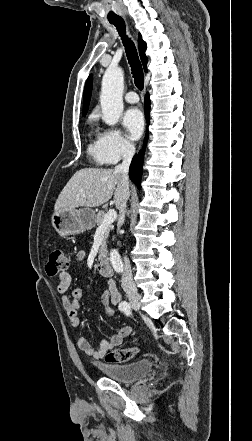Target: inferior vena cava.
Segmentation results:
<instances>
[{
	"label": "inferior vena cava",
	"instance_id": "inferior-vena-cava-1",
	"mask_svg": "<svg viewBox=\"0 0 252 441\" xmlns=\"http://www.w3.org/2000/svg\"><path fill=\"white\" fill-rule=\"evenodd\" d=\"M135 154V148L132 146H128L125 148L124 155H123V162L115 167V171L121 174V177L124 182L128 183V170L130 163L132 161V158ZM128 200V193H125L123 196L121 203L118 206L119 209V222L118 227L120 228L125 220V214H126V203ZM122 287L126 291H136L135 284L133 282L132 278V272H131V266L129 259L127 257H124V265H123V274L121 278Z\"/></svg>",
	"mask_w": 252,
	"mask_h": 441
}]
</instances>
